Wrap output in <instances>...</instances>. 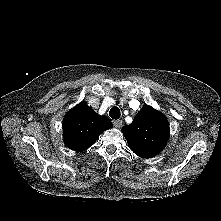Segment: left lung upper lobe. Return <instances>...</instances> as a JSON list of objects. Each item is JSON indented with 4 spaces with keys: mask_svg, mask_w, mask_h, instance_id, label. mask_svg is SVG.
<instances>
[{
    "mask_svg": "<svg viewBox=\"0 0 221 221\" xmlns=\"http://www.w3.org/2000/svg\"><path fill=\"white\" fill-rule=\"evenodd\" d=\"M122 132L129 148L136 155L152 158L166 146L169 138V123L163 114L145 105L132 123L122 128Z\"/></svg>",
    "mask_w": 221,
    "mask_h": 221,
    "instance_id": "obj_1",
    "label": "left lung upper lobe"
}]
</instances>
